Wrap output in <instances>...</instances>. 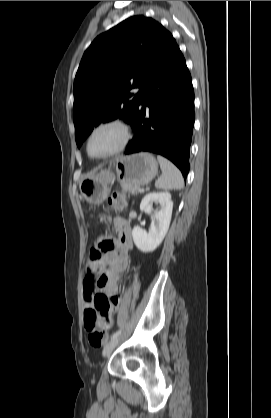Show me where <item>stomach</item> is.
<instances>
[{"mask_svg": "<svg viewBox=\"0 0 271 418\" xmlns=\"http://www.w3.org/2000/svg\"><path fill=\"white\" fill-rule=\"evenodd\" d=\"M114 168L116 175L110 169H103L80 182V191L87 202L100 204L105 201L115 176L122 182L138 186L148 184L156 176L158 164L152 154L142 152L117 159Z\"/></svg>", "mask_w": 271, "mask_h": 418, "instance_id": "stomach-1", "label": "stomach"}]
</instances>
